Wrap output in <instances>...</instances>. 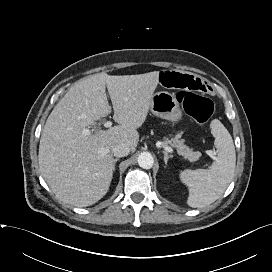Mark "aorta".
Wrapping results in <instances>:
<instances>
[{"label": "aorta", "instance_id": "762f6f07", "mask_svg": "<svg viewBox=\"0 0 272 272\" xmlns=\"http://www.w3.org/2000/svg\"><path fill=\"white\" fill-rule=\"evenodd\" d=\"M138 164L143 169H150L154 164L152 155L148 152L141 153L137 158Z\"/></svg>", "mask_w": 272, "mask_h": 272}]
</instances>
